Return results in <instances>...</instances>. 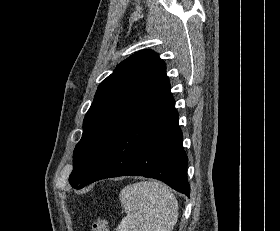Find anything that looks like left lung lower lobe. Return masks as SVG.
<instances>
[{
	"label": "left lung lower lobe",
	"mask_w": 280,
	"mask_h": 231,
	"mask_svg": "<svg viewBox=\"0 0 280 231\" xmlns=\"http://www.w3.org/2000/svg\"><path fill=\"white\" fill-rule=\"evenodd\" d=\"M174 104L170 94L149 114L123 129L76 189L101 179L131 175L161 180L189 197L188 158Z\"/></svg>",
	"instance_id": "0a47b994"
}]
</instances>
